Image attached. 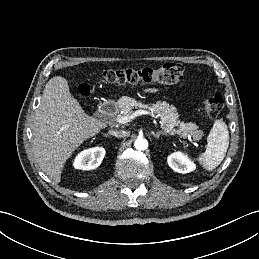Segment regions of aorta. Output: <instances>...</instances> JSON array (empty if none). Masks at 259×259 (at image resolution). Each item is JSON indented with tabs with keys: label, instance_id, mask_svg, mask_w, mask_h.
I'll use <instances>...</instances> for the list:
<instances>
[{
	"label": "aorta",
	"instance_id": "aorta-1",
	"mask_svg": "<svg viewBox=\"0 0 259 259\" xmlns=\"http://www.w3.org/2000/svg\"><path fill=\"white\" fill-rule=\"evenodd\" d=\"M134 146L137 150H146L148 147V141L144 138H138L135 141Z\"/></svg>",
	"mask_w": 259,
	"mask_h": 259
}]
</instances>
